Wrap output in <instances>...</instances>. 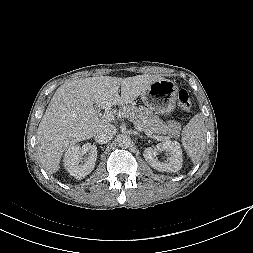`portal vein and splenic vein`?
I'll return each mask as SVG.
<instances>
[{
    "label": "portal vein and splenic vein",
    "instance_id": "1",
    "mask_svg": "<svg viewBox=\"0 0 253 253\" xmlns=\"http://www.w3.org/2000/svg\"><path fill=\"white\" fill-rule=\"evenodd\" d=\"M102 119H103L104 121H112V120H114V114H113L112 112L107 111V112H105V113L102 115ZM138 128H139V130H141V127H138ZM144 132H145V134H146L148 137L155 138V139H157V140L163 139V137L154 136V135L152 134V132L149 131V130H145ZM165 139H167V138H165Z\"/></svg>",
    "mask_w": 253,
    "mask_h": 253
}]
</instances>
